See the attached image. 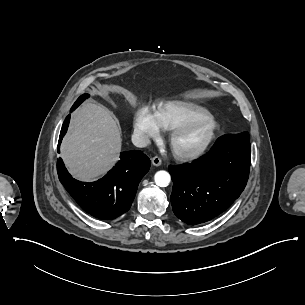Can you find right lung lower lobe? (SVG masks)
Segmentation results:
<instances>
[{"instance_id": "98d812e1", "label": "right lung lower lobe", "mask_w": 305, "mask_h": 305, "mask_svg": "<svg viewBox=\"0 0 305 305\" xmlns=\"http://www.w3.org/2000/svg\"><path fill=\"white\" fill-rule=\"evenodd\" d=\"M79 105L76 101L71 112ZM69 121L70 114L66 117L60 132L58 151ZM120 158L103 178L92 183L72 178L59 159L58 177L84 211L99 219H114L130 209L138 184L151 165L149 158L139 150L122 152Z\"/></svg>"}]
</instances>
